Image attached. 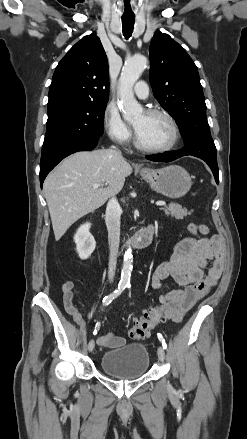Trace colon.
Segmentation results:
<instances>
[{
  "mask_svg": "<svg viewBox=\"0 0 247 439\" xmlns=\"http://www.w3.org/2000/svg\"><path fill=\"white\" fill-rule=\"evenodd\" d=\"M190 233L197 235L200 233V225L191 223L188 226ZM165 319L164 309L159 304L152 306L144 312V314L134 322L130 329L131 338L141 339L145 337L155 326Z\"/></svg>",
  "mask_w": 247,
  "mask_h": 439,
  "instance_id": "1",
  "label": "colon"
}]
</instances>
